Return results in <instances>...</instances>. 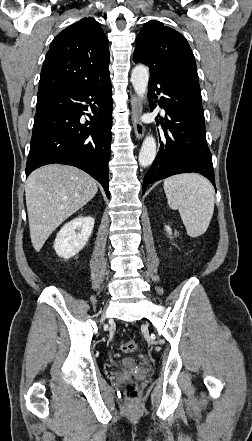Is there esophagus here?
<instances>
[{"label":"esophagus","instance_id":"34e87169","mask_svg":"<svg viewBox=\"0 0 252 441\" xmlns=\"http://www.w3.org/2000/svg\"><path fill=\"white\" fill-rule=\"evenodd\" d=\"M131 115H132V123L135 131V135L137 139H142L144 136V125L140 119L142 114V105L140 99L132 94L131 95Z\"/></svg>","mask_w":252,"mask_h":441}]
</instances>
